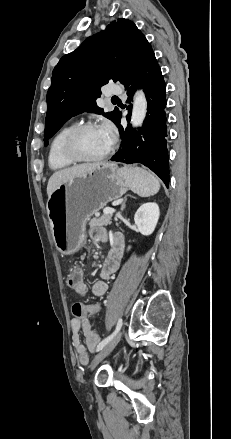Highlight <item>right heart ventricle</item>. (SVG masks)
Masks as SVG:
<instances>
[{
  "mask_svg": "<svg viewBox=\"0 0 231 439\" xmlns=\"http://www.w3.org/2000/svg\"><path fill=\"white\" fill-rule=\"evenodd\" d=\"M73 127L72 124L62 127L53 137L48 149V165L52 170H64L73 165L62 152V141L66 133Z\"/></svg>",
  "mask_w": 231,
  "mask_h": 439,
  "instance_id": "right-heart-ventricle-1",
  "label": "right heart ventricle"
}]
</instances>
